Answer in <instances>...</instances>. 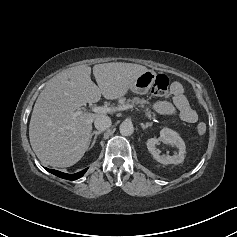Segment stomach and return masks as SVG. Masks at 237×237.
<instances>
[{"label": "stomach", "mask_w": 237, "mask_h": 237, "mask_svg": "<svg viewBox=\"0 0 237 237\" xmlns=\"http://www.w3.org/2000/svg\"><path fill=\"white\" fill-rule=\"evenodd\" d=\"M156 77V73L152 70H147L139 75L133 84L130 86V90L136 94H146L151 88Z\"/></svg>", "instance_id": "stomach-1"}]
</instances>
